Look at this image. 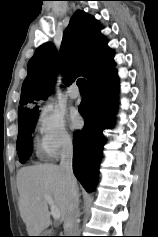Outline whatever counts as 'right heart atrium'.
<instances>
[{
  "instance_id": "d8ad5b80",
  "label": "right heart atrium",
  "mask_w": 158,
  "mask_h": 237,
  "mask_svg": "<svg viewBox=\"0 0 158 237\" xmlns=\"http://www.w3.org/2000/svg\"><path fill=\"white\" fill-rule=\"evenodd\" d=\"M39 152L47 158H56L62 150L72 144L63 115L51 106L41 109L38 118Z\"/></svg>"
}]
</instances>
